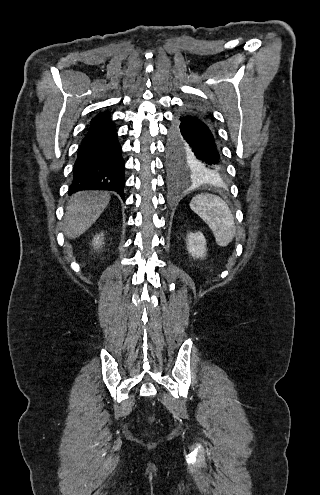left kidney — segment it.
<instances>
[{
    "instance_id": "left-kidney-1",
    "label": "left kidney",
    "mask_w": 320,
    "mask_h": 495,
    "mask_svg": "<svg viewBox=\"0 0 320 495\" xmlns=\"http://www.w3.org/2000/svg\"><path fill=\"white\" fill-rule=\"evenodd\" d=\"M187 250L194 258H204L206 254V240L201 232L190 233L187 237Z\"/></svg>"
}]
</instances>
